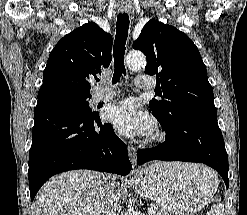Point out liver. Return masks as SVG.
Segmentation results:
<instances>
[{"instance_id":"obj_1","label":"liver","mask_w":247,"mask_h":215,"mask_svg":"<svg viewBox=\"0 0 247 215\" xmlns=\"http://www.w3.org/2000/svg\"><path fill=\"white\" fill-rule=\"evenodd\" d=\"M191 168L198 169L199 165ZM205 171L216 177L209 168ZM216 182L218 184L217 177ZM109 183L119 188L117 177L96 171L75 170L59 174L36 195L34 215H104Z\"/></svg>"}]
</instances>
